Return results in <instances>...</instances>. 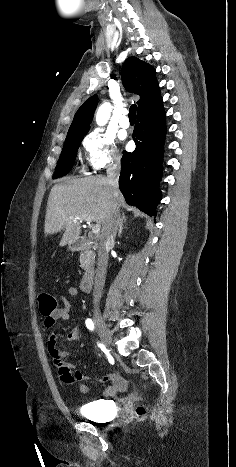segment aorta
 Wrapping results in <instances>:
<instances>
[{"label":"aorta","instance_id":"1","mask_svg":"<svg viewBox=\"0 0 236 467\" xmlns=\"http://www.w3.org/2000/svg\"><path fill=\"white\" fill-rule=\"evenodd\" d=\"M111 104L108 103V102H105L103 103L98 109H97V112H96V123L99 125V126H102V125H105L109 118H110V114H111Z\"/></svg>","mask_w":236,"mask_h":467}]
</instances>
